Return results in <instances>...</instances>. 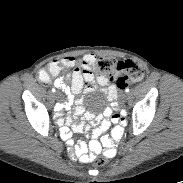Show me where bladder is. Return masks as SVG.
<instances>
[{
  "mask_svg": "<svg viewBox=\"0 0 183 183\" xmlns=\"http://www.w3.org/2000/svg\"><path fill=\"white\" fill-rule=\"evenodd\" d=\"M105 102L106 100L103 95L95 94L91 96L88 105L93 111H99L104 107Z\"/></svg>",
  "mask_w": 183,
  "mask_h": 183,
  "instance_id": "bladder-1",
  "label": "bladder"
}]
</instances>
